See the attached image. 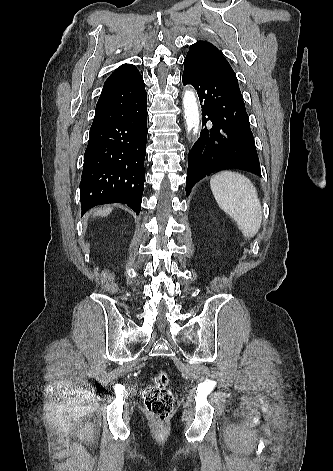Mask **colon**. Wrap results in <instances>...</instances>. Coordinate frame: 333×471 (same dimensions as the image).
<instances>
[{
    "label": "colon",
    "instance_id": "1",
    "mask_svg": "<svg viewBox=\"0 0 333 471\" xmlns=\"http://www.w3.org/2000/svg\"><path fill=\"white\" fill-rule=\"evenodd\" d=\"M168 382V373L161 370L155 375L153 384L144 391L145 406L158 432L165 429L173 408V395L168 389Z\"/></svg>",
    "mask_w": 333,
    "mask_h": 471
}]
</instances>
